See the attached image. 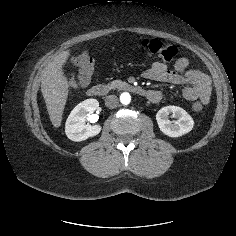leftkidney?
I'll use <instances>...</instances> for the list:
<instances>
[{
  "instance_id": "5707ae66",
  "label": "left kidney",
  "mask_w": 236,
  "mask_h": 236,
  "mask_svg": "<svg viewBox=\"0 0 236 236\" xmlns=\"http://www.w3.org/2000/svg\"><path fill=\"white\" fill-rule=\"evenodd\" d=\"M173 114L176 121L168 120V115ZM156 120L160 130L169 137H180L189 133L194 126L193 118L181 107L166 106L156 114Z\"/></svg>"
}]
</instances>
